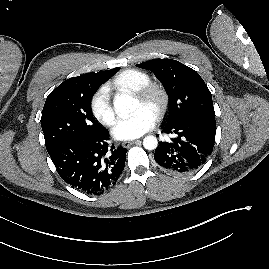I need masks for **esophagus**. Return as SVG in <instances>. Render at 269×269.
<instances>
[{
	"label": "esophagus",
	"instance_id": "esophagus-1",
	"mask_svg": "<svg viewBox=\"0 0 269 269\" xmlns=\"http://www.w3.org/2000/svg\"><path fill=\"white\" fill-rule=\"evenodd\" d=\"M141 143L140 140H134V141H124L122 143V146L125 147V148H128L129 146H131L132 144H139Z\"/></svg>",
	"mask_w": 269,
	"mask_h": 269
}]
</instances>
